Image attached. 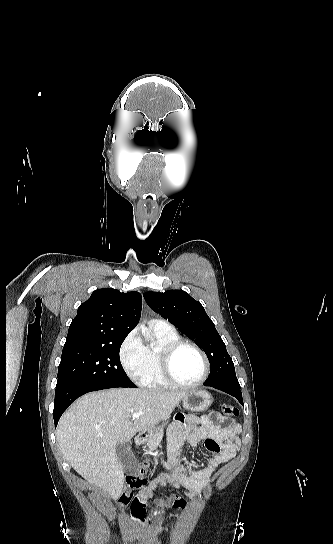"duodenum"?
<instances>
[{
  "instance_id": "1",
  "label": "duodenum",
  "mask_w": 333,
  "mask_h": 544,
  "mask_svg": "<svg viewBox=\"0 0 333 544\" xmlns=\"http://www.w3.org/2000/svg\"><path fill=\"white\" fill-rule=\"evenodd\" d=\"M146 438H147L146 433H140V434H138V435L136 436V438H135V444H136V445H141V444H143V443L145 442Z\"/></svg>"
}]
</instances>
